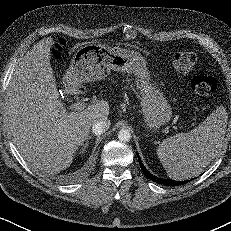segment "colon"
<instances>
[{"instance_id":"5ec220e1","label":"colon","mask_w":231,"mask_h":231,"mask_svg":"<svg viewBox=\"0 0 231 231\" xmlns=\"http://www.w3.org/2000/svg\"><path fill=\"white\" fill-rule=\"evenodd\" d=\"M61 51V47L52 51L53 60L59 61L61 59ZM196 62V53L188 51L180 52L173 59V69L176 74H185L194 68ZM191 87L199 99L208 100L215 92L217 84L213 77L197 75L193 77Z\"/></svg>"}]
</instances>
